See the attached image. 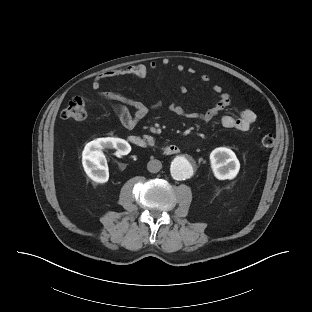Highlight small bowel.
Masks as SVG:
<instances>
[{
  "label": "small bowel",
  "mask_w": 312,
  "mask_h": 312,
  "mask_svg": "<svg viewBox=\"0 0 312 312\" xmlns=\"http://www.w3.org/2000/svg\"><path fill=\"white\" fill-rule=\"evenodd\" d=\"M158 68L156 62H151L148 66L143 64H136L127 67H123L116 70H111L98 75L92 82V87L99 91V95L105 101H107L114 112L116 113L120 123L127 129H133L148 113V107L143 102L130 98L128 96L100 91L102 81L107 78H113L117 76H134L137 78H144L150 71H155ZM182 66H178V71H182ZM209 76L202 75L200 82L206 84L209 82ZM212 91L217 95L216 102L206 111L201 113H187L181 106L174 103L170 105L169 109L175 115L179 117H188L191 119L199 120L202 122H210L213 120L222 110L230 105V96L227 93L222 92V88L219 85H214ZM180 92L184 94L186 88L181 86ZM132 108L133 111H130ZM256 121V114L251 109L242 110L238 116L224 115L221 118V125L226 129H236L239 131H248Z\"/></svg>",
  "instance_id": "obj_1"
}]
</instances>
